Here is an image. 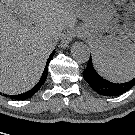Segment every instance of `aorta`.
I'll list each match as a JSON object with an SVG mask.
<instances>
[{
  "mask_svg": "<svg viewBox=\"0 0 135 135\" xmlns=\"http://www.w3.org/2000/svg\"><path fill=\"white\" fill-rule=\"evenodd\" d=\"M73 58L79 63H85L89 60L90 50L87 45L82 42H75L71 47Z\"/></svg>",
  "mask_w": 135,
  "mask_h": 135,
  "instance_id": "aorta-1",
  "label": "aorta"
}]
</instances>
